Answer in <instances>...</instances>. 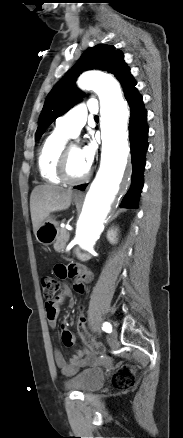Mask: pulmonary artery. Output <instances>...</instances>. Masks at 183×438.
<instances>
[{
	"label": "pulmonary artery",
	"mask_w": 183,
	"mask_h": 438,
	"mask_svg": "<svg viewBox=\"0 0 183 438\" xmlns=\"http://www.w3.org/2000/svg\"><path fill=\"white\" fill-rule=\"evenodd\" d=\"M99 105L97 100L92 99L87 103L79 104L68 111L56 121V128L67 136H76L85 125L88 114H97Z\"/></svg>",
	"instance_id": "pulmonary-artery-1"
}]
</instances>
